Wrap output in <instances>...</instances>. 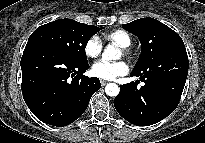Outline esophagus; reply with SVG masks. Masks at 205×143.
Returning a JSON list of instances; mask_svg holds the SVG:
<instances>
[{
    "label": "esophagus",
    "mask_w": 205,
    "mask_h": 143,
    "mask_svg": "<svg viewBox=\"0 0 205 143\" xmlns=\"http://www.w3.org/2000/svg\"><path fill=\"white\" fill-rule=\"evenodd\" d=\"M100 83H101L102 86H105L108 82L105 81V80H100Z\"/></svg>",
    "instance_id": "esophagus-1"
}]
</instances>
